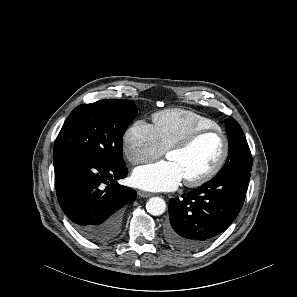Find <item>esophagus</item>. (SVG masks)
<instances>
[{"mask_svg":"<svg viewBox=\"0 0 297 297\" xmlns=\"http://www.w3.org/2000/svg\"><path fill=\"white\" fill-rule=\"evenodd\" d=\"M137 195H138L139 197H142V198H147V197L152 196L151 193L146 192V191H143V190H139V191L137 192Z\"/></svg>","mask_w":297,"mask_h":297,"instance_id":"34e87169","label":"esophagus"}]
</instances>
